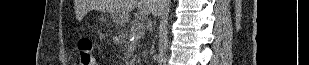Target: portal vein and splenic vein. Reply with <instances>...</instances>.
<instances>
[{"mask_svg": "<svg viewBox=\"0 0 309 65\" xmlns=\"http://www.w3.org/2000/svg\"><path fill=\"white\" fill-rule=\"evenodd\" d=\"M139 29H142V30L144 29V24L143 23L139 25Z\"/></svg>", "mask_w": 309, "mask_h": 65, "instance_id": "obj_1", "label": "portal vein and splenic vein"}]
</instances>
